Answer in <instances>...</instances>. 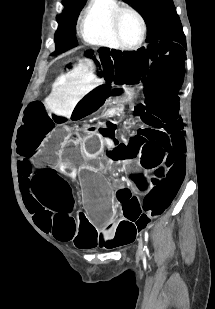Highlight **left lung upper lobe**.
<instances>
[{
	"label": "left lung upper lobe",
	"instance_id": "obj_1",
	"mask_svg": "<svg viewBox=\"0 0 215 309\" xmlns=\"http://www.w3.org/2000/svg\"><path fill=\"white\" fill-rule=\"evenodd\" d=\"M143 16L147 25L146 42L158 40L186 44L182 25L172 0H127Z\"/></svg>",
	"mask_w": 215,
	"mask_h": 309
}]
</instances>
